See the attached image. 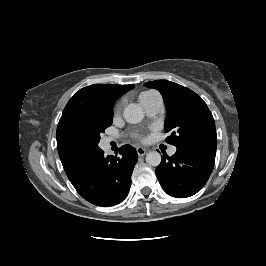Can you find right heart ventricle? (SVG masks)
I'll return each mask as SVG.
<instances>
[{"label": "right heart ventricle", "mask_w": 266, "mask_h": 266, "mask_svg": "<svg viewBox=\"0 0 266 266\" xmlns=\"http://www.w3.org/2000/svg\"><path fill=\"white\" fill-rule=\"evenodd\" d=\"M150 93H153V92H145V93H142V94L140 95V98H141L143 95H147V94H150Z\"/></svg>", "instance_id": "right-heart-ventricle-1"}]
</instances>
